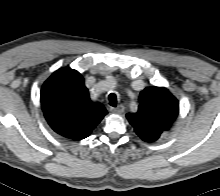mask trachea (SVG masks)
Listing matches in <instances>:
<instances>
[{"mask_svg": "<svg viewBox=\"0 0 220 196\" xmlns=\"http://www.w3.org/2000/svg\"><path fill=\"white\" fill-rule=\"evenodd\" d=\"M108 100H109V105L116 107L117 106V96L114 93H111L108 96Z\"/></svg>", "mask_w": 220, "mask_h": 196, "instance_id": "trachea-1", "label": "trachea"}]
</instances>
